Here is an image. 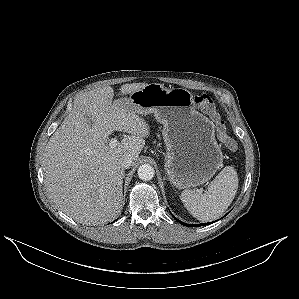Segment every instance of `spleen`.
Segmentation results:
<instances>
[{"instance_id":"spleen-1","label":"spleen","mask_w":299,"mask_h":299,"mask_svg":"<svg viewBox=\"0 0 299 299\" xmlns=\"http://www.w3.org/2000/svg\"><path fill=\"white\" fill-rule=\"evenodd\" d=\"M238 189V176L233 166H226L202 193L185 189L180 199L196 219L207 222L220 217L232 203Z\"/></svg>"}]
</instances>
